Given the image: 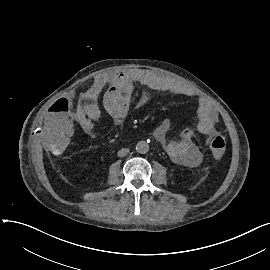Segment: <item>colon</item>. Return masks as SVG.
<instances>
[{
  "mask_svg": "<svg viewBox=\"0 0 270 270\" xmlns=\"http://www.w3.org/2000/svg\"><path fill=\"white\" fill-rule=\"evenodd\" d=\"M225 147L226 138L222 134L212 136L208 142V148L214 154V159L218 163H223L227 159Z\"/></svg>",
  "mask_w": 270,
  "mask_h": 270,
  "instance_id": "obj_1",
  "label": "colon"
}]
</instances>
